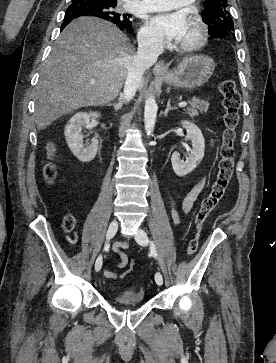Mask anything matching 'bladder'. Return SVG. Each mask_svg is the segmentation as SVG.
Masks as SVG:
<instances>
[{
  "mask_svg": "<svg viewBox=\"0 0 276 363\" xmlns=\"http://www.w3.org/2000/svg\"><path fill=\"white\" fill-rule=\"evenodd\" d=\"M113 301L124 306L140 305L144 302V295L139 291L124 290L119 292Z\"/></svg>",
  "mask_w": 276,
  "mask_h": 363,
  "instance_id": "bladder-1",
  "label": "bladder"
}]
</instances>
